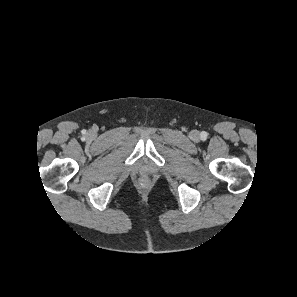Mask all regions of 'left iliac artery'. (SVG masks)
<instances>
[{"label": "left iliac artery", "instance_id": "left-iliac-artery-1", "mask_svg": "<svg viewBox=\"0 0 297 297\" xmlns=\"http://www.w3.org/2000/svg\"><path fill=\"white\" fill-rule=\"evenodd\" d=\"M207 136H208L207 132H205V131L201 132V139L202 140H205L207 138Z\"/></svg>", "mask_w": 297, "mask_h": 297}]
</instances>
